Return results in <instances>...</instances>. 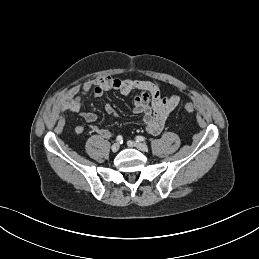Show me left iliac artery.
Returning <instances> with one entry per match:
<instances>
[{"mask_svg": "<svg viewBox=\"0 0 259 259\" xmlns=\"http://www.w3.org/2000/svg\"><path fill=\"white\" fill-rule=\"evenodd\" d=\"M136 140H137V142H139V141H145L146 139L143 136H137Z\"/></svg>", "mask_w": 259, "mask_h": 259, "instance_id": "left-iliac-artery-1", "label": "left iliac artery"}]
</instances>
